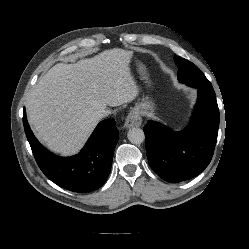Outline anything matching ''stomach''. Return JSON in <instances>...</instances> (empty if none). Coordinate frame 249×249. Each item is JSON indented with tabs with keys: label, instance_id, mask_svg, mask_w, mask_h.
Returning a JSON list of instances; mask_svg holds the SVG:
<instances>
[{
	"label": "stomach",
	"instance_id": "obj_1",
	"mask_svg": "<svg viewBox=\"0 0 249 249\" xmlns=\"http://www.w3.org/2000/svg\"><path fill=\"white\" fill-rule=\"evenodd\" d=\"M139 70L140 72L145 75V67L139 63ZM154 106L151 101L147 98L143 99L141 103H139L134 110L138 112L140 115H151L154 111Z\"/></svg>",
	"mask_w": 249,
	"mask_h": 249
}]
</instances>
